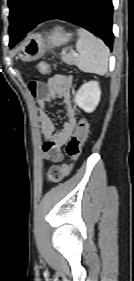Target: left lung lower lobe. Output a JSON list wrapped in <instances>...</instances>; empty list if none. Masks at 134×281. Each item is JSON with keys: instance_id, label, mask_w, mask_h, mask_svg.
<instances>
[{"instance_id": "1", "label": "left lung lower lobe", "mask_w": 134, "mask_h": 281, "mask_svg": "<svg viewBox=\"0 0 134 281\" xmlns=\"http://www.w3.org/2000/svg\"><path fill=\"white\" fill-rule=\"evenodd\" d=\"M112 16V0H46L29 31L44 21L61 19L97 34L112 50ZM24 36L17 35V42Z\"/></svg>"}]
</instances>
